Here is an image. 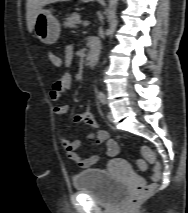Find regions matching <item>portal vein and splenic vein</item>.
<instances>
[{"label":"portal vein and splenic vein","instance_id":"obj_1","mask_svg":"<svg viewBox=\"0 0 188 213\" xmlns=\"http://www.w3.org/2000/svg\"><path fill=\"white\" fill-rule=\"evenodd\" d=\"M89 25V22L88 21H84L83 22V26H88Z\"/></svg>","mask_w":188,"mask_h":213}]
</instances>
